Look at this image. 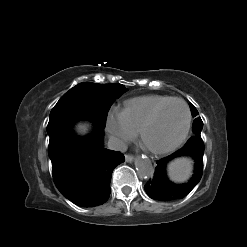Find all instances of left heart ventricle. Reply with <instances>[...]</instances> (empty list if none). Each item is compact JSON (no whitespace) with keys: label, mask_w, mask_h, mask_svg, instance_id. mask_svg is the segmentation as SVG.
<instances>
[{"label":"left heart ventricle","mask_w":247,"mask_h":247,"mask_svg":"<svg viewBox=\"0 0 247 247\" xmlns=\"http://www.w3.org/2000/svg\"><path fill=\"white\" fill-rule=\"evenodd\" d=\"M186 124V110L182 103L172 102L159 114L145 134V142L153 148L167 147L182 135Z\"/></svg>","instance_id":"obj_1"}]
</instances>
